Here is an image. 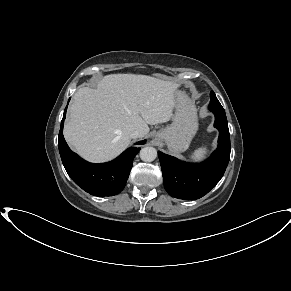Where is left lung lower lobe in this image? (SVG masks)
<instances>
[{
	"label": "left lung lower lobe",
	"mask_w": 291,
	"mask_h": 291,
	"mask_svg": "<svg viewBox=\"0 0 291 291\" xmlns=\"http://www.w3.org/2000/svg\"><path fill=\"white\" fill-rule=\"evenodd\" d=\"M219 130L218 148L202 163H186L158 152L163 183L172 197L195 200L206 195L222 178L230 159V135L225 111L221 104H209Z\"/></svg>",
	"instance_id": "0a47b994"
}]
</instances>
